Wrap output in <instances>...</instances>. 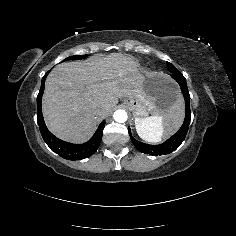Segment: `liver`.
<instances>
[{
	"label": "liver",
	"instance_id": "6515ba94",
	"mask_svg": "<svg viewBox=\"0 0 236 236\" xmlns=\"http://www.w3.org/2000/svg\"><path fill=\"white\" fill-rule=\"evenodd\" d=\"M143 80L134 57L121 53L61 63L45 82V122L60 139L86 142L95 132L97 122L113 113L119 98H140ZM175 107L182 111V101Z\"/></svg>",
	"mask_w": 236,
	"mask_h": 236
}]
</instances>
